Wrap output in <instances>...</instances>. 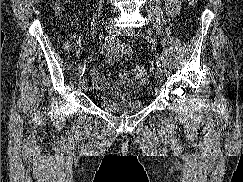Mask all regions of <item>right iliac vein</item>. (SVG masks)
Wrapping results in <instances>:
<instances>
[{
  "label": "right iliac vein",
  "mask_w": 243,
  "mask_h": 182,
  "mask_svg": "<svg viewBox=\"0 0 243 182\" xmlns=\"http://www.w3.org/2000/svg\"><path fill=\"white\" fill-rule=\"evenodd\" d=\"M116 30V27L113 23H107L106 25V31L108 34H113ZM79 84L86 89L87 86V78L85 76H82L79 80Z\"/></svg>",
  "instance_id": "63e3f726"
}]
</instances>
